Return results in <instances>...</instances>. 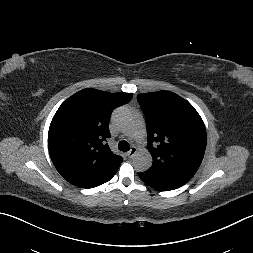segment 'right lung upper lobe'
<instances>
[{
	"label": "right lung upper lobe",
	"instance_id": "right-lung-upper-lobe-1",
	"mask_svg": "<svg viewBox=\"0 0 253 253\" xmlns=\"http://www.w3.org/2000/svg\"><path fill=\"white\" fill-rule=\"evenodd\" d=\"M131 98L130 93L87 88L59 107L49 127L48 148L57 171L69 183L93 188L115 175L123 159L106 144L110 115Z\"/></svg>",
	"mask_w": 253,
	"mask_h": 253
}]
</instances>
